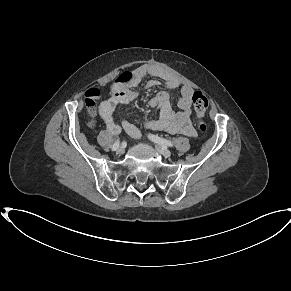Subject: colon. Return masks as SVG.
Here are the masks:
<instances>
[{
  "instance_id": "5ec220e1",
  "label": "colon",
  "mask_w": 291,
  "mask_h": 291,
  "mask_svg": "<svg viewBox=\"0 0 291 291\" xmlns=\"http://www.w3.org/2000/svg\"><path fill=\"white\" fill-rule=\"evenodd\" d=\"M100 94L101 92L99 89L92 88L88 91L85 105L91 112L95 111L97 106V99ZM192 101L195 112L199 118V129L200 131L205 132L207 130V123L204 120V116L209 106L208 99L203 93L197 91L193 94Z\"/></svg>"
}]
</instances>
